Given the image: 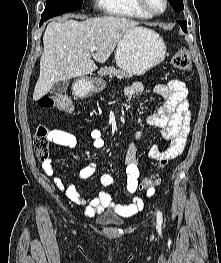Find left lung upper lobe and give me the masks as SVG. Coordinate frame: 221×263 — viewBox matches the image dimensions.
I'll use <instances>...</instances> for the list:
<instances>
[{
    "instance_id": "1",
    "label": "left lung upper lobe",
    "mask_w": 221,
    "mask_h": 263,
    "mask_svg": "<svg viewBox=\"0 0 221 263\" xmlns=\"http://www.w3.org/2000/svg\"><path fill=\"white\" fill-rule=\"evenodd\" d=\"M169 2L176 12L184 9L183 0H169Z\"/></svg>"
}]
</instances>
